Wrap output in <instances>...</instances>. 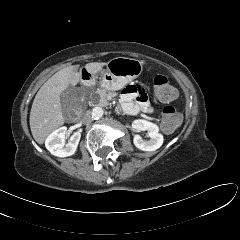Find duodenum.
Segmentation results:
<instances>
[{"label":"duodenum","mask_w":240,"mask_h":240,"mask_svg":"<svg viewBox=\"0 0 240 240\" xmlns=\"http://www.w3.org/2000/svg\"><path fill=\"white\" fill-rule=\"evenodd\" d=\"M83 81H84L85 83H90V78H89L87 75H84V76H83Z\"/></svg>","instance_id":"1"}]
</instances>
